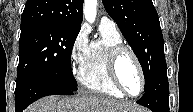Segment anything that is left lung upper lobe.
I'll use <instances>...</instances> for the list:
<instances>
[{
	"mask_svg": "<svg viewBox=\"0 0 193 112\" xmlns=\"http://www.w3.org/2000/svg\"><path fill=\"white\" fill-rule=\"evenodd\" d=\"M137 56L144 73L145 89L166 66L164 40L152 0H102Z\"/></svg>",
	"mask_w": 193,
	"mask_h": 112,
	"instance_id": "left-lung-upper-lobe-1",
	"label": "left lung upper lobe"
}]
</instances>
